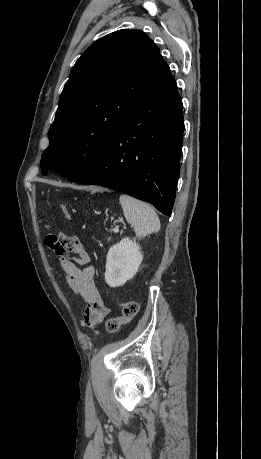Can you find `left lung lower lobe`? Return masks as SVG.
Instances as JSON below:
<instances>
[{"label": "left lung lower lobe", "instance_id": "obj_1", "mask_svg": "<svg viewBox=\"0 0 261 459\" xmlns=\"http://www.w3.org/2000/svg\"><path fill=\"white\" fill-rule=\"evenodd\" d=\"M183 131L182 100L170 73L98 160L68 180L124 192L171 216Z\"/></svg>", "mask_w": 261, "mask_h": 459}]
</instances>
